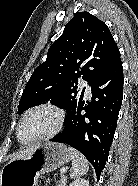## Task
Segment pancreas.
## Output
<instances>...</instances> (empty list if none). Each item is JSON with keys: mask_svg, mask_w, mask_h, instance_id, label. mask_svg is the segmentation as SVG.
I'll list each match as a JSON object with an SVG mask.
<instances>
[{"mask_svg": "<svg viewBox=\"0 0 138 186\" xmlns=\"http://www.w3.org/2000/svg\"><path fill=\"white\" fill-rule=\"evenodd\" d=\"M57 186H65V177L61 176V180Z\"/></svg>", "mask_w": 138, "mask_h": 186, "instance_id": "cf45deb5", "label": "pancreas"}]
</instances>
